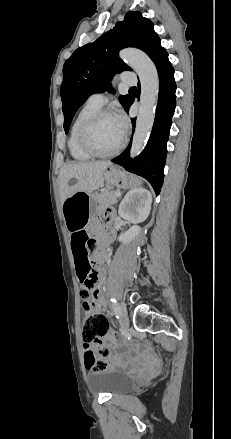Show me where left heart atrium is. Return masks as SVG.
<instances>
[{"instance_id": "obj_1", "label": "left heart atrium", "mask_w": 231, "mask_h": 439, "mask_svg": "<svg viewBox=\"0 0 231 439\" xmlns=\"http://www.w3.org/2000/svg\"><path fill=\"white\" fill-rule=\"evenodd\" d=\"M115 122L122 136L125 135L128 127V121L123 113H118L114 116Z\"/></svg>"}]
</instances>
